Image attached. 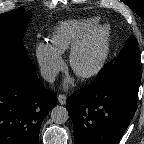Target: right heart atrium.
Segmentation results:
<instances>
[{"label": "right heart atrium", "mask_w": 144, "mask_h": 144, "mask_svg": "<svg viewBox=\"0 0 144 144\" xmlns=\"http://www.w3.org/2000/svg\"><path fill=\"white\" fill-rule=\"evenodd\" d=\"M35 55L40 70L47 80H53L58 71L64 67L61 53L51 44L39 43L36 47Z\"/></svg>", "instance_id": "right-heart-atrium-1"}]
</instances>
